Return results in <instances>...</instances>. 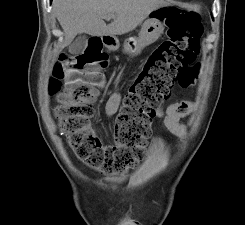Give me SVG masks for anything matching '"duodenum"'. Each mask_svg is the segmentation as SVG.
<instances>
[{"instance_id": "obj_1", "label": "duodenum", "mask_w": 245, "mask_h": 225, "mask_svg": "<svg viewBox=\"0 0 245 225\" xmlns=\"http://www.w3.org/2000/svg\"><path fill=\"white\" fill-rule=\"evenodd\" d=\"M102 39H103V40H108L109 37H107L106 35H103V36H102Z\"/></svg>"}]
</instances>
